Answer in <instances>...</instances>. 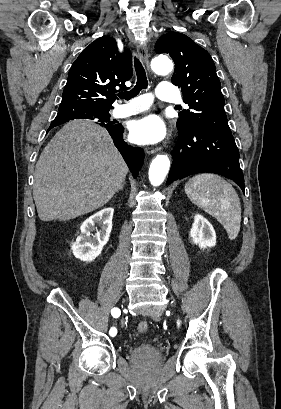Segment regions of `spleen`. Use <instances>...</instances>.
<instances>
[{"label":"spleen","instance_id":"spleen-1","mask_svg":"<svg viewBox=\"0 0 281 409\" xmlns=\"http://www.w3.org/2000/svg\"><path fill=\"white\" fill-rule=\"evenodd\" d=\"M185 192L194 205L215 217L234 241L241 227L240 198L230 182L219 174H195L185 184Z\"/></svg>","mask_w":281,"mask_h":409}]
</instances>
